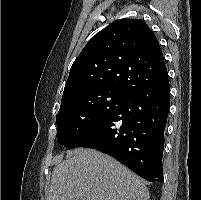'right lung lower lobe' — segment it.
Wrapping results in <instances>:
<instances>
[{
  "label": "right lung lower lobe",
  "instance_id": "1",
  "mask_svg": "<svg viewBox=\"0 0 201 200\" xmlns=\"http://www.w3.org/2000/svg\"><path fill=\"white\" fill-rule=\"evenodd\" d=\"M168 74L129 95L121 106L78 135L67 149L89 147L116 158L149 182H163Z\"/></svg>",
  "mask_w": 201,
  "mask_h": 200
}]
</instances>
